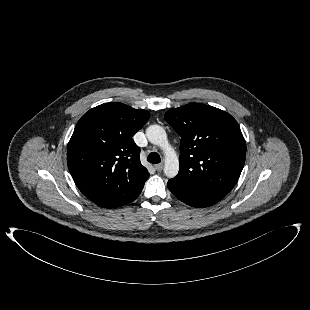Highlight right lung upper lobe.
<instances>
[{
	"instance_id": "cb5924a9",
	"label": "right lung upper lobe",
	"mask_w": 310,
	"mask_h": 310,
	"mask_svg": "<svg viewBox=\"0 0 310 310\" xmlns=\"http://www.w3.org/2000/svg\"><path fill=\"white\" fill-rule=\"evenodd\" d=\"M150 117L122 103L90 109L78 121L67 148L69 171L80 191L100 207L138 197L149 177L132 137Z\"/></svg>"
}]
</instances>
